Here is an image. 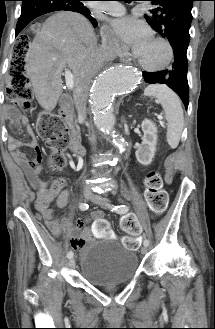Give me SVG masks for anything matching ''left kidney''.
<instances>
[{
    "mask_svg": "<svg viewBox=\"0 0 215 329\" xmlns=\"http://www.w3.org/2000/svg\"><path fill=\"white\" fill-rule=\"evenodd\" d=\"M144 136L142 143L135 152L138 162L142 165H149L154 158L157 144V127L155 124L145 119L141 124Z\"/></svg>",
    "mask_w": 215,
    "mask_h": 329,
    "instance_id": "5707ae66",
    "label": "left kidney"
}]
</instances>
